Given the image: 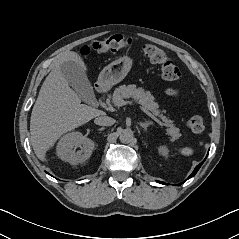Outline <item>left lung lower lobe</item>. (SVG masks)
<instances>
[{
	"instance_id": "1",
	"label": "left lung lower lobe",
	"mask_w": 239,
	"mask_h": 239,
	"mask_svg": "<svg viewBox=\"0 0 239 239\" xmlns=\"http://www.w3.org/2000/svg\"><path fill=\"white\" fill-rule=\"evenodd\" d=\"M203 162H204V161H203ZM203 162L196 166L195 170L192 172V174L189 176V178L195 176V174L198 172V170H199V168L201 167V165L203 164ZM189 178H188V179H189ZM157 182H158V183H161V184H165L164 182H160V181H157ZM181 184H182V183H180V184H178V185H181Z\"/></svg>"
}]
</instances>
